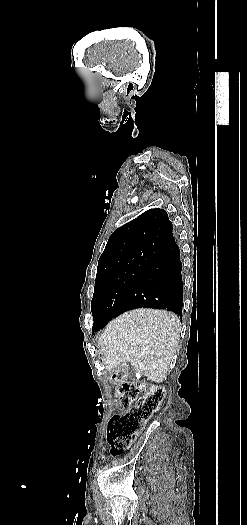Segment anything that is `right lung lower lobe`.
<instances>
[{
	"instance_id": "98d812e1",
	"label": "right lung lower lobe",
	"mask_w": 247,
	"mask_h": 525,
	"mask_svg": "<svg viewBox=\"0 0 247 525\" xmlns=\"http://www.w3.org/2000/svg\"><path fill=\"white\" fill-rule=\"evenodd\" d=\"M180 250L175 239L152 255L143 273L120 303L117 316L135 308L166 309L182 316L183 282ZM104 326L92 328V333Z\"/></svg>"
}]
</instances>
